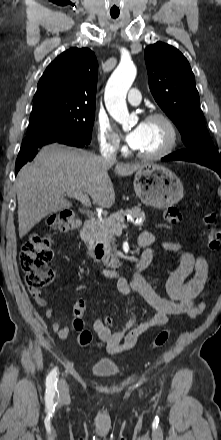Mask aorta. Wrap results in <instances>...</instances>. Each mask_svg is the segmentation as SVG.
Returning a JSON list of instances; mask_svg holds the SVG:
<instances>
[{
	"label": "aorta",
	"instance_id": "762f6f07",
	"mask_svg": "<svg viewBox=\"0 0 221 440\" xmlns=\"http://www.w3.org/2000/svg\"><path fill=\"white\" fill-rule=\"evenodd\" d=\"M135 77V66L129 62H122L110 76L105 88L106 108L111 117L124 127L131 119L126 105V94Z\"/></svg>",
	"mask_w": 221,
	"mask_h": 440
}]
</instances>
